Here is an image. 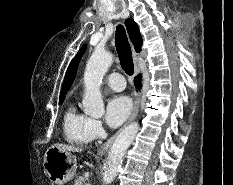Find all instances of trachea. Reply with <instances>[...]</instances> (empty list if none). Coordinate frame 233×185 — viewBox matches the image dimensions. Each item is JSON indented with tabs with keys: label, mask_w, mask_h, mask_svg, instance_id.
Masks as SVG:
<instances>
[{
	"label": "trachea",
	"mask_w": 233,
	"mask_h": 185,
	"mask_svg": "<svg viewBox=\"0 0 233 185\" xmlns=\"http://www.w3.org/2000/svg\"><path fill=\"white\" fill-rule=\"evenodd\" d=\"M115 44L121 67L128 75H132L134 72L132 53L125 29L122 25L117 26Z\"/></svg>",
	"instance_id": "3493384b"
}]
</instances>
